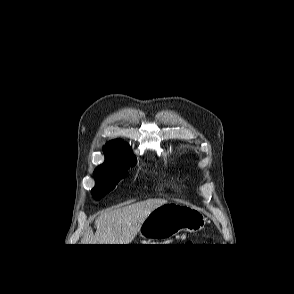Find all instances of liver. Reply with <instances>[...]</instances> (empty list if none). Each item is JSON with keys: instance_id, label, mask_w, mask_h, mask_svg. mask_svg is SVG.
I'll return each instance as SVG.
<instances>
[{"instance_id": "liver-1", "label": "liver", "mask_w": 294, "mask_h": 294, "mask_svg": "<svg viewBox=\"0 0 294 294\" xmlns=\"http://www.w3.org/2000/svg\"><path fill=\"white\" fill-rule=\"evenodd\" d=\"M167 203L164 199H147L117 209H109L96 219V233L88 228L81 244H129L136 237L146 217L157 207Z\"/></svg>"}]
</instances>
